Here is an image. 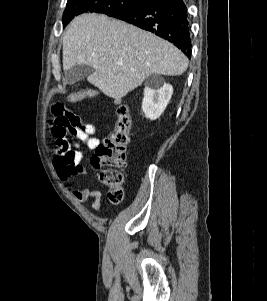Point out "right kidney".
I'll return each instance as SVG.
<instances>
[{"mask_svg":"<svg viewBox=\"0 0 267 301\" xmlns=\"http://www.w3.org/2000/svg\"><path fill=\"white\" fill-rule=\"evenodd\" d=\"M173 87L170 84L154 86L144 90V98L142 102V110L146 118L156 120L166 109L171 96Z\"/></svg>","mask_w":267,"mask_h":301,"instance_id":"right-kidney-1","label":"right kidney"}]
</instances>
